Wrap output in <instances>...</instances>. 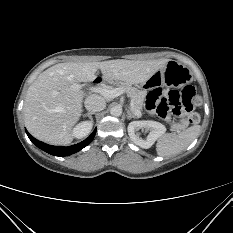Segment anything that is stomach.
I'll list each match as a JSON object with an SVG mask.
<instances>
[{
    "label": "stomach",
    "mask_w": 233,
    "mask_h": 233,
    "mask_svg": "<svg viewBox=\"0 0 233 233\" xmlns=\"http://www.w3.org/2000/svg\"><path fill=\"white\" fill-rule=\"evenodd\" d=\"M191 80L192 74L186 66L176 61H169L154 76L147 79L142 88L148 91L150 88L160 86L161 84L171 87H181L188 84Z\"/></svg>",
    "instance_id": "1"
}]
</instances>
